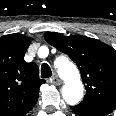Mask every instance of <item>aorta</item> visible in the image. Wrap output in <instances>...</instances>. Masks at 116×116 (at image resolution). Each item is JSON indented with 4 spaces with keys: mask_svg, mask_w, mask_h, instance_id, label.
Instances as JSON below:
<instances>
[{
    "mask_svg": "<svg viewBox=\"0 0 116 116\" xmlns=\"http://www.w3.org/2000/svg\"><path fill=\"white\" fill-rule=\"evenodd\" d=\"M58 72L64 80L62 97L69 105H76L83 97V84L75 65L68 60L63 61Z\"/></svg>",
    "mask_w": 116,
    "mask_h": 116,
    "instance_id": "762f6f07",
    "label": "aorta"
}]
</instances>
